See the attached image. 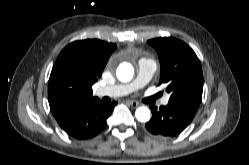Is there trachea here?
<instances>
[{
    "instance_id": "3493384b",
    "label": "trachea",
    "mask_w": 249,
    "mask_h": 165,
    "mask_svg": "<svg viewBox=\"0 0 249 165\" xmlns=\"http://www.w3.org/2000/svg\"><path fill=\"white\" fill-rule=\"evenodd\" d=\"M158 96H153V97H151L150 99H156Z\"/></svg>"
}]
</instances>
